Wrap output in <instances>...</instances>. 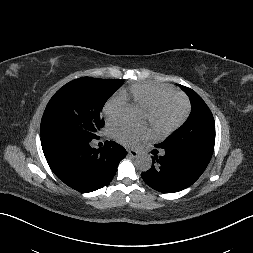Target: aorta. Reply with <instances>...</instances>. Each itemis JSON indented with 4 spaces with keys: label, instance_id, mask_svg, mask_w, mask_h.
Instances as JSON below:
<instances>
[{
    "label": "aorta",
    "instance_id": "obj_1",
    "mask_svg": "<svg viewBox=\"0 0 253 253\" xmlns=\"http://www.w3.org/2000/svg\"><path fill=\"white\" fill-rule=\"evenodd\" d=\"M142 113L139 107L135 105H128L124 109V119L130 124H136L140 122ZM135 166L138 170L145 172L152 166V158L147 153H141L136 157Z\"/></svg>",
    "mask_w": 253,
    "mask_h": 253
}]
</instances>
